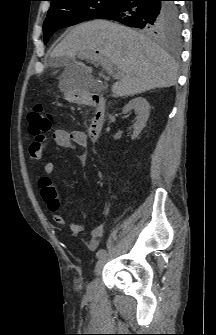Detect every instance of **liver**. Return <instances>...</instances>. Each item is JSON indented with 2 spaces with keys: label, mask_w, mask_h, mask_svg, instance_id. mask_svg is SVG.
<instances>
[{
  "label": "liver",
  "mask_w": 216,
  "mask_h": 335,
  "mask_svg": "<svg viewBox=\"0 0 216 335\" xmlns=\"http://www.w3.org/2000/svg\"><path fill=\"white\" fill-rule=\"evenodd\" d=\"M95 52L109 59L118 69V81L112 86L115 97L134 96L177 82V65L163 48L144 34L110 21L94 20L74 27L50 56L54 66H60L64 60L73 61V65L66 67L62 78L70 87L80 88L92 68L76 61V57Z\"/></svg>",
  "instance_id": "1"
}]
</instances>
